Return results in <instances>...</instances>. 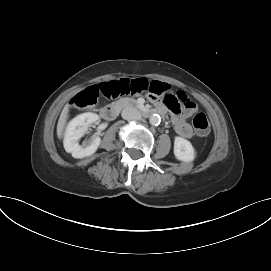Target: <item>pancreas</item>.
<instances>
[{
  "instance_id": "1",
  "label": "pancreas",
  "mask_w": 271,
  "mask_h": 271,
  "mask_svg": "<svg viewBox=\"0 0 271 271\" xmlns=\"http://www.w3.org/2000/svg\"><path fill=\"white\" fill-rule=\"evenodd\" d=\"M119 103H121L123 106H128L130 104H135V100H133V99H121V100H119Z\"/></svg>"
}]
</instances>
